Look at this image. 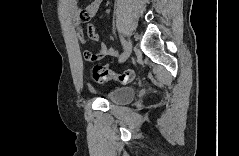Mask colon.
<instances>
[{
    "label": "colon",
    "instance_id": "obj_1",
    "mask_svg": "<svg viewBox=\"0 0 239 156\" xmlns=\"http://www.w3.org/2000/svg\"><path fill=\"white\" fill-rule=\"evenodd\" d=\"M79 19L83 22L90 20V15L86 11H81ZM93 78L99 82L116 80L121 83H128L133 79L134 73L131 70L118 72L105 66H95L92 69Z\"/></svg>",
    "mask_w": 239,
    "mask_h": 156
}]
</instances>
